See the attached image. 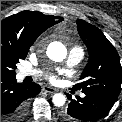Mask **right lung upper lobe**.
<instances>
[{"label": "right lung upper lobe", "instance_id": "1", "mask_svg": "<svg viewBox=\"0 0 122 122\" xmlns=\"http://www.w3.org/2000/svg\"><path fill=\"white\" fill-rule=\"evenodd\" d=\"M62 20L60 17L27 10L9 16L1 21V45L28 53L41 33Z\"/></svg>", "mask_w": 122, "mask_h": 122}]
</instances>
